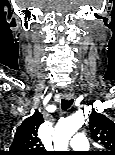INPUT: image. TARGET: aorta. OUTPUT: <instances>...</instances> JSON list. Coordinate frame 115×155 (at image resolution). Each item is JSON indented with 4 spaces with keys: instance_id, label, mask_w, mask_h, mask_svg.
I'll return each instance as SVG.
<instances>
[{
    "instance_id": "1",
    "label": "aorta",
    "mask_w": 115,
    "mask_h": 155,
    "mask_svg": "<svg viewBox=\"0 0 115 155\" xmlns=\"http://www.w3.org/2000/svg\"><path fill=\"white\" fill-rule=\"evenodd\" d=\"M83 124L84 117L80 113L60 120L55 127L54 148L57 151H67L70 138Z\"/></svg>"
}]
</instances>
